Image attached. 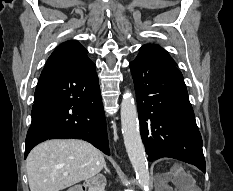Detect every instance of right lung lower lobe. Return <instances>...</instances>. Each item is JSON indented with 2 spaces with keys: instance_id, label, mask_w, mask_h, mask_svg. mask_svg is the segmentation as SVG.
Masks as SVG:
<instances>
[{
  "instance_id": "obj_1",
  "label": "right lung lower lobe",
  "mask_w": 233,
  "mask_h": 191,
  "mask_svg": "<svg viewBox=\"0 0 233 191\" xmlns=\"http://www.w3.org/2000/svg\"><path fill=\"white\" fill-rule=\"evenodd\" d=\"M95 67L89 59L75 66L43 69L35 90L24 158L40 142L56 138L83 139L110 155Z\"/></svg>"
}]
</instances>
